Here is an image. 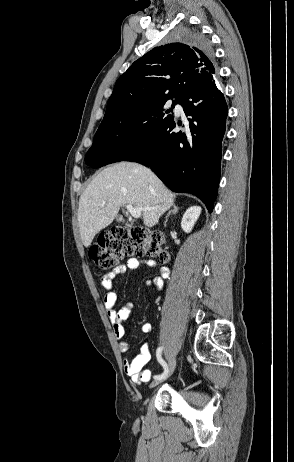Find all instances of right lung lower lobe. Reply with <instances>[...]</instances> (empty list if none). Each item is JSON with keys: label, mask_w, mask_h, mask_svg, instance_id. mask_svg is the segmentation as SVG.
<instances>
[{"label": "right lung lower lobe", "mask_w": 294, "mask_h": 462, "mask_svg": "<svg viewBox=\"0 0 294 462\" xmlns=\"http://www.w3.org/2000/svg\"><path fill=\"white\" fill-rule=\"evenodd\" d=\"M216 85L217 77L180 97L179 104L189 116L182 131H173L172 119L123 159L150 167L172 191L195 194L209 212L217 196L228 112ZM85 162L94 168L105 164L101 155Z\"/></svg>", "instance_id": "right-lung-lower-lobe-1"}]
</instances>
